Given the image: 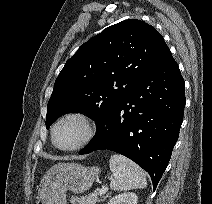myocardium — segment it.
Returning <instances> with one entry per match:
<instances>
[{
    "instance_id": "obj_1",
    "label": "myocardium",
    "mask_w": 212,
    "mask_h": 204,
    "mask_svg": "<svg viewBox=\"0 0 212 204\" xmlns=\"http://www.w3.org/2000/svg\"><path fill=\"white\" fill-rule=\"evenodd\" d=\"M77 120L79 121L82 126H83V136L80 139V141L78 143H76L75 145L71 146V147H61L60 145L57 144L56 139H55V132L57 127L67 121V120ZM96 133V125L95 122L93 121V119L87 115L86 113L83 112H79V111H71V112H67L65 114H63L60 118L57 119V121L53 124L52 128H51V140L53 145L61 150V151H65V152H71V151H76L78 149H81L82 147L86 146L95 136Z\"/></svg>"
}]
</instances>
